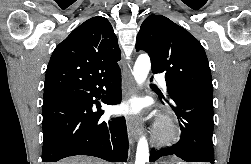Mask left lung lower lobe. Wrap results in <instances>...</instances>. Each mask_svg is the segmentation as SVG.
I'll return each instance as SVG.
<instances>
[{"mask_svg":"<svg viewBox=\"0 0 251 164\" xmlns=\"http://www.w3.org/2000/svg\"><path fill=\"white\" fill-rule=\"evenodd\" d=\"M180 118L181 136L178 143L166 149H153L150 162L167 155H176L187 162L214 164L213 98L179 92L170 95Z\"/></svg>","mask_w":251,"mask_h":164,"instance_id":"0a47b994","label":"left lung lower lobe"}]
</instances>
